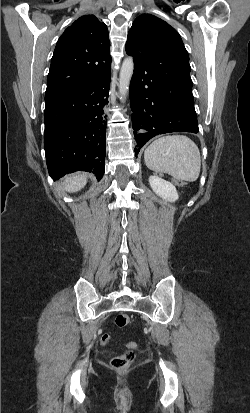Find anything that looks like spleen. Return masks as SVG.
Masks as SVG:
<instances>
[{"instance_id":"3e777b00","label":"spleen","mask_w":250,"mask_h":413,"mask_svg":"<svg viewBox=\"0 0 250 413\" xmlns=\"http://www.w3.org/2000/svg\"><path fill=\"white\" fill-rule=\"evenodd\" d=\"M146 166L178 181L194 182L201 169L200 152L187 136L168 135L152 142L144 153Z\"/></svg>"}]
</instances>
